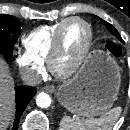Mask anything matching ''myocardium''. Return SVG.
<instances>
[{
  "label": "myocardium",
  "instance_id": "f54148a6",
  "mask_svg": "<svg viewBox=\"0 0 130 130\" xmlns=\"http://www.w3.org/2000/svg\"><path fill=\"white\" fill-rule=\"evenodd\" d=\"M80 22L82 23L86 29H87V41L84 46V49L82 50L81 54L77 58V60L74 62V64L69 67L66 70H60L57 67V60L60 57V54L63 49V34L66 29V27L71 23V22ZM92 40H93V31L91 25L84 19L80 17H71L68 18L64 24L61 26V28L58 30L56 33L54 43L52 46V49L50 51L47 63H48V68L50 72L57 78L60 79H67L71 76H73L83 65L85 60L87 59V56L90 52L91 46H92Z\"/></svg>",
  "mask_w": 130,
  "mask_h": 130
}]
</instances>
